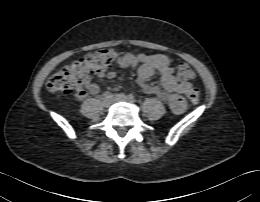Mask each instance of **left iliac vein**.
Segmentation results:
<instances>
[{
    "label": "left iliac vein",
    "instance_id": "1",
    "mask_svg": "<svg viewBox=\"0 0 260 202\" xmlns=\"http://www.w3.org/2000/svg\"><path fill=\"white\" fill-rule=\"evenodd\" d=\"M113 102H120V101H124V102H130V100L128 99L127 96H125L124 94H115L112 98Z\"/></svg>",
    "mask_w": 260,
    "mask_h": 202
}]
</instances>
